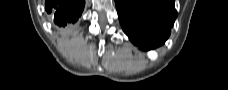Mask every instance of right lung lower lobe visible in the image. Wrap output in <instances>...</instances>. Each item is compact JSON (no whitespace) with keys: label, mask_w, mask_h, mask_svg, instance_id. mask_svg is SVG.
Segmentation results:
<instances>
[{"label":"right lung lower lobe","mask_w":228,"mask_h":90,"mask_svg":"<svg viewBox=\"0 0 228 90\" xmlns=\"http://www.w3.org/2000/svg\"><path fill=\"white\" fill-rule=\"evenodd\" d=\"M84 0H46L45 10L54 14V21L59 26L74 23L83 11Z\"/></svg>","instance_id":"obj_1"}]
</instances>
